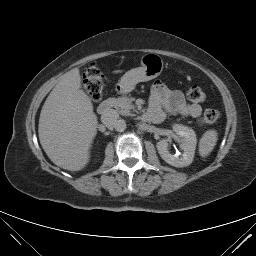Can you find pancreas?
Returning a JSON list of instances; mask_svg holds the SVG:
<instances>
[{
	"instance_id": "obj_1",
	"label": "pancreas",
	"mask_w": 256,
	"mask_h": 256,
	"mask_svg": "<svg viewBox=\"0 0 256 256\" xmlns=\"http://www.w3.org/2000/svg\"><path fill=\"white\" fill-rule=\"evenodd\" d=\"M112 106L117 109L121 115H133L131 110H134L135 107L132 104V100L128 97L112 98Z\"/></svg>"
}]
</instances>
